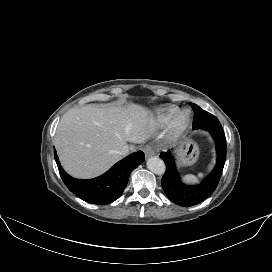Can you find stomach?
<instances>
[{"mask_svg":"<svg viewBox=\"0 0 272 272\" xmlns=\"http://www.w3.org/2000/svg\"><path fill=\"white\" fill-rule=\"evenodd\" d=\"M176 154L180 166H191L199 158V148L194 141L185 140L178 146Z\"/></svg>","mask_w":272,"mask_h":272,"instance_id":"1","label":"stomach"}]
</instances>
